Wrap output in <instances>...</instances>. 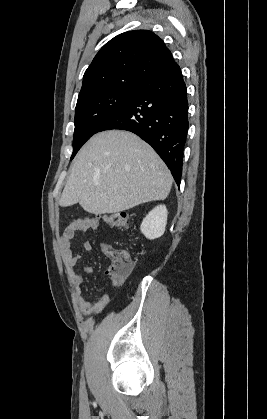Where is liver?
Instances as JSON below:
<instances>
[{
  "label": "liver",
  "instance_id": "obj_1",
  "mask_svg": "<svg viewBox=\"0 0 267 419\" xmlns=\"http://www.w3.org/2000/svg\"><path fill=\"white\" fill-rule=\"evenodd\" d=\"M172 181L165 163L138 136L104 131L90 138L77 154L59 204L79 203L96 215L117 213L164 200Z\"/></svg>",
  "mask_w": 267,
  "mask_h": 419
}]
</instances>
